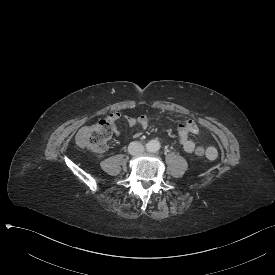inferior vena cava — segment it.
I'll use <instances>...</instances> for the list:
<instances>
[{"instance_id":"inferior-vena-cava-1","label":"inferior vena cava","mask_w":275,"mask_h":275,"mask_svg":"<svg viewBox=\"0 0 275 275\" xmlns=\"http://www.w3.org/2000/svg\"><path fill=\"white\" fill-rule=\"evenodd\" d=\"M128 152L133 156H140L144 152V146L137 141H133L128 146Z\"/></svg>"}]
</instances>
